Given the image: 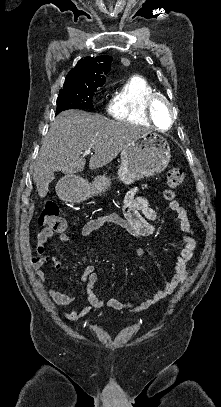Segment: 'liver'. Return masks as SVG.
<instances>
[{
	"label": "liver",
	"instance_id": "1",
	"mask_svg": "<svg viewBox=\"0 0 221 407\" xmlns=\"http://www.w3.org/2000/svg\"><path fill=\"white\" fill-rule=\"evenodd\" d=\"M147 129L84 111L61 112L50 125L34 163L33 180L61 171L71 176L84 170L82 151L93 150L91 170L109 164L126 145Z\"/></svg>",
	"mask_w": 221,
	"mask_h": 407
}]
</instances>
